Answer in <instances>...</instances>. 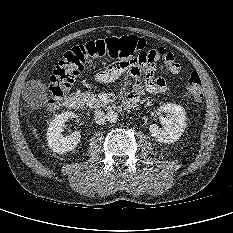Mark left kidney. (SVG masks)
I'll list each match as a JSON object with an SVG mask.
<instances>
[{
	"mask_svg": "<svg viewBox=\"0 0 233 233\" xmlns=\"http://www.w3.org/2000/svg\"><path fill=\"white\" fill-rule=\"evenodd\" d=\"M159 111L167 113V115L160 118L162 127L156 124L149 126L150 133L158 142H176L186 128L185 109L180 105L167 103L160 106Z\"/></svg>",
	"mask_w": 233,
	"mask_h": 233,
	"instance_id": "obj_1",
	"label": "left kidney"
}]
</instances>
